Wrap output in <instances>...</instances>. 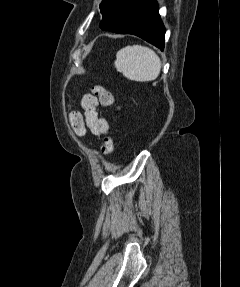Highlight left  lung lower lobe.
Listing matches in <instances>:
<instances>
[{
    "mask_svg": "<svg viewBox=\"0 0 240 287\" xmlns=\"http://www.w3.org/2000/svg\"><path fill=\"white\" fill-rule=\"evenodd\" d=\"M100 28L119 34H133L164 49L165 28L156 0H108Z\"/></svg>",
    "mask_w": 240,
    "mask_h": 287,
    "instance_id": "0a47b994",
    "label": "left lung lower lobe"
}]
</instances>
